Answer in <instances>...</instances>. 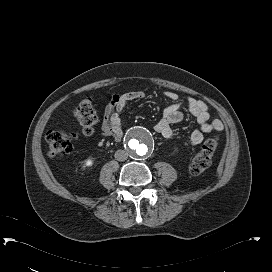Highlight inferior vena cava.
Returning a JSON list of instances; mask_svg holds the SVG:
<instances>
[{
    "mask_svg": "<svg viewBox=\"0 0 272 272\" xmlns=\"http://www.w3.org/2000/svg\"><path fill=\"white\" fill-rule=\"evenodd\" d=\"M114 156L118 161H125L128 158V153L125 150H117Z\"/></svg>",
    "mask_w": 272,
    "mask_h": 272,
    "instance_id": "1",
    "label": "inferior vena cava"
}]
</instances>
